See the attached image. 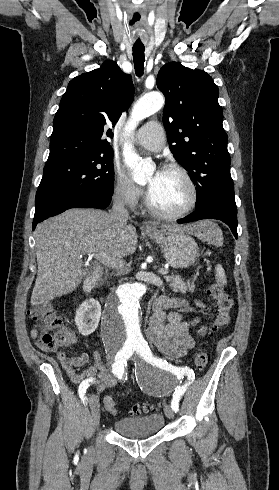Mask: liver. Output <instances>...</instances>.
<instances>
[{
    "mask_svg": "<svg viewBox=\"0 0 279 490\" xmlns=\"http://www.w3.org/2000/svg\"><path fill=\"white\" fill-rule=\"evenodd\" d=\"M161 228L182 230L200 238L203 222L188 226L162 224ZM35 238L38 270L31 306L48 304L73 292L85 276L82 262L85 254H107L120 262L134 254L138 242L134 226H123L101 210L79 208L38 224Z\"/></svg>",
    "mask_w": 279,
    "mask_h": 490,
    "instance_id": "6515ba94",
    "label": "liver"
}]
</instances>
